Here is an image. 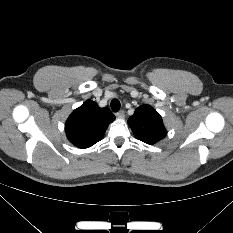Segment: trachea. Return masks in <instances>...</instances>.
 Segmentation results:
<instances>
[{"instance_id":"trachea-1","label":"trachea","mask_w":233,"mask_h":233,"mask_svg":"<svg viewBox=\"0 0 233 233\" xmlns=\"http://www.w3.org/2000/svg\"><path fill=\"white\" fill-rule=\"evenodd\" d=\"M120 107H121V104L119 100L113 99L111 101V109L113 110V112H118L120 110Z\"/></svg>"}]
</instances>
